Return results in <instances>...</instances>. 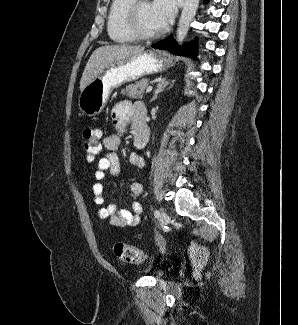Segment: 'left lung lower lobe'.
<instances>
[{"label":"left lung lower lobe","instance_id":"1","mask_svg":"<svg viewBox=\"0 0 298 325\" xmlns=\"http://www.w3.org/2000/svg\"><path fill=\"white\" fill-rule=\"evenodd\" d=\"M152 47L157 49H168L173 54L188 56L194 59H196L197 55L196 43L186 44L181 47L176 44V41L174 40L173 36H169L168 38H165L164 40L153 44Z\"/></svg>","mask_w":298,"mask_h":325}]
</instances>
